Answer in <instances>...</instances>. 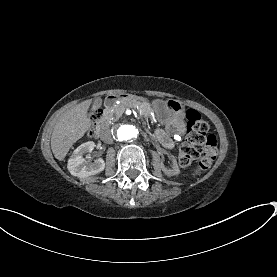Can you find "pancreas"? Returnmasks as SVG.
<instances>
[{"mask_svg": "<svg viewBox=\"0 0 277 277\" xmlns=\"http://www.w3.org/2000/svg\"><path fill=\"white\" fill-rule=\"evenodd\" d=\"M128 109L141 118H146L151 113L150 106L139 96H131L127 100L119 98L117 101L108 105L106 113L109 117L116 118L120 113H124Z\"/></svg>", "mask_w": 277, "mask_h": 277, "instance_id": "cf45deb5", "label": "pancreas"}]
</instances>
